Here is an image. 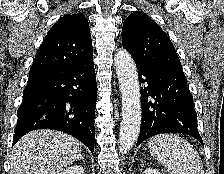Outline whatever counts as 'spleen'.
I'll use <instances>...</instances> for the list:
<instances>
[{"mask_svg": "<svg viewBox=\"0 0 224 174\" xmlns=\"http://www.w3.org/2000/svg\"><path fill=\"white\" fill-rule=\"evenodd\" d=\"M150 153L170 174H204L203 164L193 146L175 134H160L150 139Z\"/></svg>", "mask_w": 224, "mask_h": 174, "instance_id": "1", "label": "spleen"}]
</instances>
